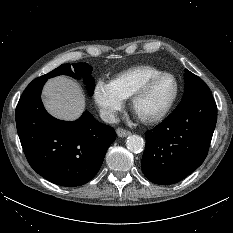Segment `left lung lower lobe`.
Segmentation results:
<instances>
[{"mask_svg": "<svg viewBox=\"0 0 233 233\" xmlns=\"http://www.w3.org/2000/svg\"><path fill=\"white\" fill-rule=\"evenodd\" d=\"M217 120L212 95L176 107L156 128L145 133L142 170L153 183L170 185L183 180L207 156Z\"/></svg>", "mask_w": 233, "mask_h": 233, "instance_id": "0a47b994", "label": "left lung lower lobe"}]
</instances>
